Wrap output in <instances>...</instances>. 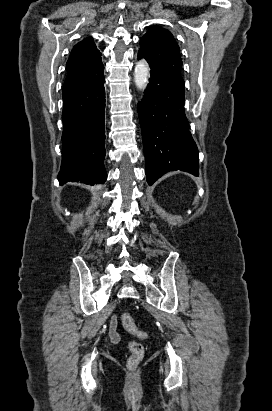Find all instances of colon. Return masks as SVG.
<instances>
[{
  "instance_id": "5ec220e1",
  "label": "colon",
  "mask_w": 272,
  "mask_h": 411,
  "mask_svg": "<svg viewBox=\"0 0 272 411\" xmlns=\"http://www.w3.org/2000/svg\"><path fill=\"white\" fill-rule=\"evenodd\" d=\"M121 323L123 327L131 334L143 337L145 334L140 331L132 318L128 313H123L121 316ZM130 356L127 359V367L134 370L138 367L144 356V347L141 343L136 341L129 342Z\"/></svg>"
}]
</instances>
